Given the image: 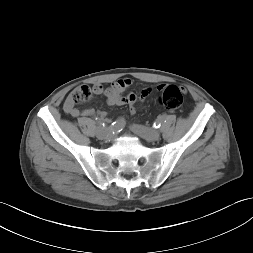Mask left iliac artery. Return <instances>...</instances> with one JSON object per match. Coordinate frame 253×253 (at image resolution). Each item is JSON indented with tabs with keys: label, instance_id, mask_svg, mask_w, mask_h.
Returning a JSON list of instances; mask_svg holds the SVG:
<instances>
[{
	"label": "left iliac artery",
	"instance_id": "obj_1",
	"mask_svg": "<svg viewBox=\"0 0 253 253\" xmlns=\"http://www.w3.org/2000/svg\"><path fill=\"white\" fill-rule=\"evenodd\" d=\"M162 118H159L155 123H154V126L156 127V128H159L160 126H161V123H162Z\"/></svg>",
	"mask_w": 253,
	"mask_h": 253
}]
</instances>
